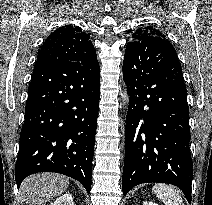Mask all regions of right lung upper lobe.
<instances>
[{
	"label": "right lung upper lobe",
	"instance_id": "obj_1",
	"mask_svg": "<svg viewBox=\"0 0 212 205\" xmlns=\"http://www.w3.org/2000/svg\"><path fill=\"white\" fill-rule=\"evenodd\" d=\"M97 60L95 48L80 27L65 25L56 29L44 41L35 68L65 61L92 62Z\"/></svg>",
	"mask_w": 212,
	"mask_h": 205
}]
</instances>
